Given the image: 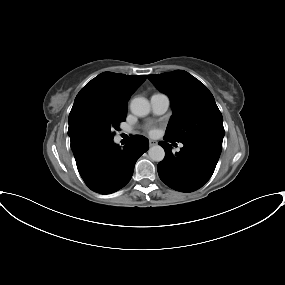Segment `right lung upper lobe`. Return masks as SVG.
<instances>
[{
    "instance_id": "1",
    "label": "right lung upper lobe",
    "mask_w": 285,
    "mask_h": 285,
    "mask_svg": "<svg viewBox=\"0 0 285 285\" xmlns=\"http://www.w3.org/2000/svg\"><path fill=\"white\" fill-rule=\"evenodd\" d=\"M146 75H124L103 72L88 82L78 93L69 114L68 134L71 148L75 142V123L86 112H111L127 115V102L131 94L146 80Z\"/></svg>"
}]
</instances>
